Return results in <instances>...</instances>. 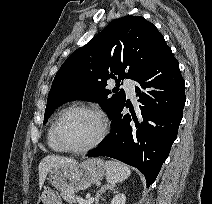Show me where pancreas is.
<instances>
[{"mask_svg": "<svg viewBox=\"0 0 212 204\" xmlns=\"http://www.w3.org/2000/svg\"><path fill=\"white\" fill-rule=\"evenodd\" d=\"M61 197L69 204L76 203V195L73 189H66L61 192Z\"/></svg>", "mask_w": 212, "mask_h": 204, "instance_id": "pancreas-1", "label": "pancreas"}]
</instances>
